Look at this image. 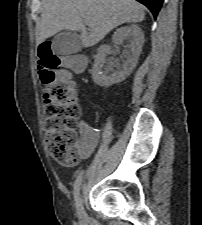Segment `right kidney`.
<instances>
[{
	"mask_svg": "<svg viewBox=\"0 0 202 225\" xmlns=\"http://www.w3.org/2000/svg\"><path fill=\"white\" fill-rule=\"evenodd\" d=\"M113 43L122 45L124 41L127 45L123 52V65L118 60L111 59L108 65L104 67L105 57L110 50L109 45H102L98 49L92 69L94 82L103 87H109L113 84L125 80L134 70L138 63L139 55L144 43V34L137 25L125 26L117 29L112 37ZM117 68L118 71H114Z\"/></svg>",
	"mask_w": 202,
	"mask_h": 225,
	"instance_id": "obj_1",
	"label": "right kidney"
}]
</instances>
